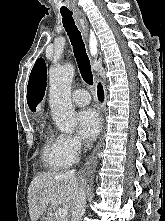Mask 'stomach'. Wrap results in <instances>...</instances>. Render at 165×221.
<instances>
[{
    "instance_id": "0dacf381",
    "label": "stomach",
    "mask_w": 165,
    "mask_h": 221,
    "mask_svg": "<svg viewBox=\"0 0 165 221\" xmlns=\"http://www.w3.org/2000/svg\"><path fill=\"white\" fill-rule=\"evenodd\" d=\"M51 220V217L50 216H43L41 218V221H50Z\"/></svg>"
}]
</instances>
